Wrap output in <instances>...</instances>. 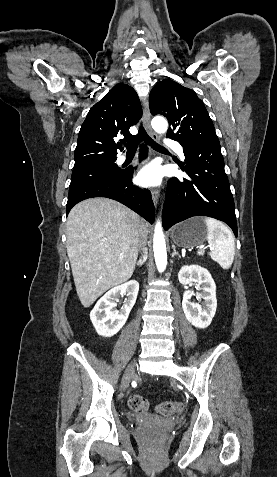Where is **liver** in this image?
<instances>
[{"label":"liver","mask_w":277,"mask_h":477,"mask_svg":"<svg viewBox=\"0 0 277 477\" xmlns=\"http://www.w3.org/2000/svg\"><path fill=\"white\" fill-rule=\"evenodd\" d=\"M147 224L132 210L108 198H91L70 211L67 254L81 304L91 306L103 293L132 276Z\"/></svg>","instance_id":"1"}]
</instances>
